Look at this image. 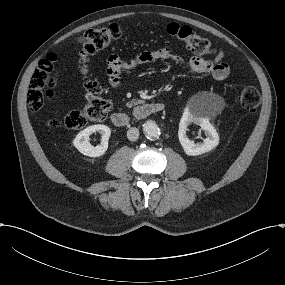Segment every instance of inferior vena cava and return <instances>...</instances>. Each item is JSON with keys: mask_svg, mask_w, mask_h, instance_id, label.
Returning <instances> with one entry per match:
<instances>
[{"mask_svg": "<svg viewBox=\"0 0 285 285\" xmlns=\"http://www.w3.org/2000/svg\"><path fill=\"white\" fill-rule=\"evenodd\" d=\"M139 137V129L132 127L127 131V138L131 141L137 140Z\"/></svg>", "mask_w": 285, "mask_h": 285, "instance_id": "602c4592", "label": "inferior vena cava"}]
</instances>
